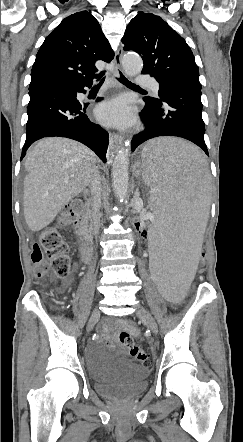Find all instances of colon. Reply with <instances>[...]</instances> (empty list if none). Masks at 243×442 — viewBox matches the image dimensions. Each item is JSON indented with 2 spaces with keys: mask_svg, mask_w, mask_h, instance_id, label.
<instances>
[{
  "mask_svg": "<svg viewBox=\"0 0 243 442\" xmlns=\"http://www.w3.org/2000/svg\"><path fill=\"white\" fill-rule=\"evenodd\" d=\"M77 209V204L66 205L59 214V224L61 226L70 225L75 214L77 213ZM127 228L133 229L135 233L140 234V243L146 244L149 242V237L147 235L149 228L144 217L139 216L137 217L136 221L128 222ZM68 251V244L63 240L55 228L45 229L40 236L39 243L33 246L31 253V261L34 266V275L37 278L45 277L48 274L50 266L56 276L61 278L68 276L71 269V261ZM44 253L50 260V263H48L46 260ZM208 260V255H200L197 269L203 270ZM119 341L128 350L130 356L133 357L139 364L144 367L150 366L152 360L149 354L134 343L133 337L128 332H121L119 334Z\"/></svg>",
  "mask_w": 243,
  "mask_h": 442,
  "instance_id": "1",
  "label": "colon"
}]
</instances>
